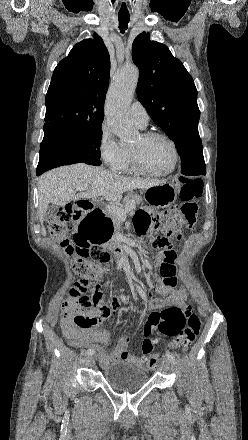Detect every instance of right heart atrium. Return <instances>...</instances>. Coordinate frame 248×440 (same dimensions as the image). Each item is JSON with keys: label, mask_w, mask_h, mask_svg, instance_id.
<instances>
[{"label": "right heart atrium", "mask_w": 248, "mask_h": 440, "mask_svg": "<svg viewBox=\"0 0 248 440\" xmlns=\"http://www.w3.org/2000/svg\"><path fill=\"white\" fill-rule=\"evenodd\" d=\"M98 151L102 162L111 170L118 171L125 159V150L106 123L100 128Z\"/></svg>", "instance_id": "right-heart-atrium-1"}]
</instances>
